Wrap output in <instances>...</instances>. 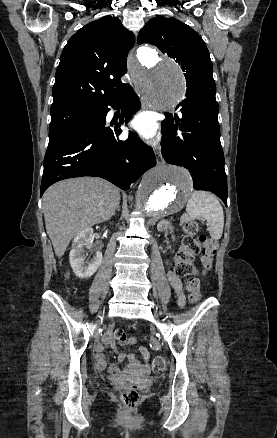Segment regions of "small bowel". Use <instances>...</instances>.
I'll list each match as a JSON object with an SVG mask.
<instances>
[{
  "label": "small bowel",
  "mask_w": 277,
  "mask_h": 438,
  "mask_svg": "<svg viewBox=\"0 0 277 438\" xmlns=\"http://www.w3.org/2000/svg\"><path fill=\"white\" fill-rule=\"evenodd\" d=\"M168 279L169 282L171 284V286L174 289V292L177 296V300H178V304L180 306H183L185 303V297H184V287H183V282L182 280L173 272H169L168 273ZM105 331V336L106 338H104V341H106V343L108 344H112L115 341L114 335L115 332L114 330H112L111 326H106L104 328ZM113 347L115 349H119L121 347V344L119 342H115L113 344ZM96 350H97V354H96V358L98 361L97 367L98 368H102L104 366V355H103V346L102 345H97L96 346ZM141 353L143 355V359L145 362H147L150 358L149 352L146 348H141ZM119 360H123L124 359V355L123 354H119L118 355ZM129 363L131 368L133 369H137V371L141 372V373H145L147 371V366L146 364H139L135 358L133 356L129 357ZM109 373L112 376V379L114 380H119L120 379V375H119V371L117 369V367L112 366L109 368Z\"/></svg>",
  "instance_id": "1"
}]
</instances>
